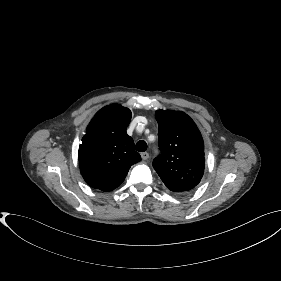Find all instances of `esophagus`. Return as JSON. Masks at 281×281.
Wrapping results in <instances>:
<instances>
[{
    "mask_svg": "<svg viewBox=\"0 0 281 281\" xmlns=\"http://www.w3.org/2000/svg\"><path fill=\"white\" fill-rule=\"evenodd\" d=\"M141 157L143 160H147L149 158V153L143 152V153H141Z\"/></svg>",
    "mask_w": 281,
    "mask_h": 281,
    "instance_id": "1",
    "label": "esophagus"
}]
</instances>
